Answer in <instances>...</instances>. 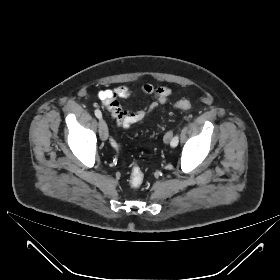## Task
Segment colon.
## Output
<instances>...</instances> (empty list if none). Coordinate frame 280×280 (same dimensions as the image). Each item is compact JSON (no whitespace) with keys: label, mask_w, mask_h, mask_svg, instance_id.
Here are the masks:
<instances>
[{"label":"colon","mask_w":280,"mask_h":280,"mask_svg":"<svg viewBox=\"0 0 280 280\" xmlns=\"http://www.w3.org/2000/svg\"><path fill=\"white\" fill-rule=\"evenodd\" d=\"M191 103L188 100H180L176 103V107L182 109V110H189L191 108ZM144 181V174L140 167L134 166L131 170L130 175V185L134 189H138L141 187Z\"/></svg>","instance_id":"5ec220e1"}]
</instances>
